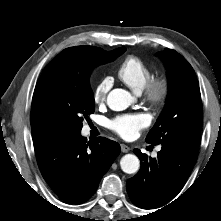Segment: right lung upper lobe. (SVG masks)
Wrapping results in <instances>:
<instances>
[{"mask_svg":"<svg viewBox=\"0 0 221 221\" xmlns=\"http://www.w3.org/2000/svg\"><path fill=\"white\" fill-rule=\"evenodd\" d=\"M33 137H36V136H39V135H36V134H34V135H32Z\"/></svg>","mask_w":221,"mask_h":221,"instance_id":"cb5924a9","label":"right lung upper lobe"}]
</instances>
